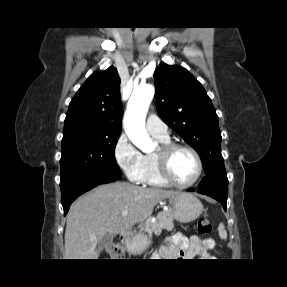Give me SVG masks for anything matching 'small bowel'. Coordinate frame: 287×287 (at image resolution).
<instances>
[{
  "mask_svg": "<svg viewBox=\"0 0 287 287\" xmlns=\"http://www.w3.org/2000/svg\"><path fill=\"white\" fill-rule=\"evenodd\" d=\"M216 242L212 238L201 240L197 236L187 238L176 233L166 239L158 249L156 256L165 259H193L195 257L207 258L209 251L214 249Z\"/></svg>",
  "mask_w": 287,
  "mask_h": 287,
  "instance_id": "obj_1",
  "label": "small bowel"
}]
</instances>
